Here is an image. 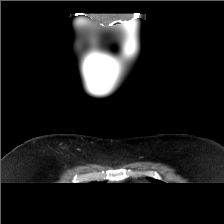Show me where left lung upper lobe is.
Returning <instances> with one entry per match:
<instances>
[{"label":"left lung upper lobe","mask_w":224,"mask_h":224,"mask_svg":"<svg viewBox=\"0 0 224 224\" xmlns=\"http://www.w3.org/2000/svg\"><path fill=\"white\" fill-rule=\"evenodd\" d=\"M152 183H155V182H159V181H157V180H155V179H153V178H148Z\"/></svg>","instance_id":"left-lung-upper-lobe-1"}]
</instances>
